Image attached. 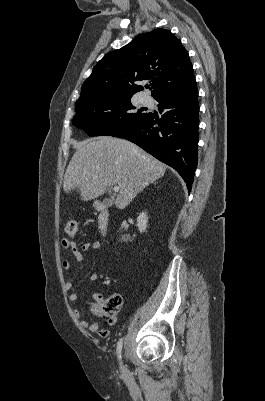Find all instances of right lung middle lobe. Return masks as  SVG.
I'll return each mask as SVG.
<instances>
[{
  "label": "right lung middle lobe",
  "mask_w": 265,
  "mask_h": 401,
  "mask_svg": "<svg viewBox=\"0 0 265 401\" xmlns=\"http://www.w3.org/2000/svg\"><path fill=\"white\" fill-rule=\"evenodd\" d=\"M130 98L102 96L76 105V115L72 123L90 136L113 135L147 115L134 112L135 107L131 104Z\"/></svg>",
  "instance_id": "right-lung-middle-lobe-1"
}]
</instances>
